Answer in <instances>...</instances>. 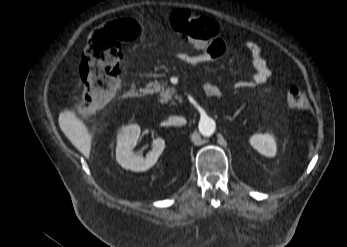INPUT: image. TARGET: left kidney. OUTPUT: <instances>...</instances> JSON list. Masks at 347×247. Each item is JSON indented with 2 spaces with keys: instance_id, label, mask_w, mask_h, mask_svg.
Masks as SVG:
<instances>
[{
  "instance_id": "5707ae66",
  "label": "left kidney",
  "mask_w": 347,
  "mask_h": 247,
  "mask_svg": "<svg viewBox=\"0 0 347 247\" xmlns=\"http://www.w3.org/2000/svg\"><path fill=\"white\" fill-rule=\"evenodd\" d=\"M251 146L256 149L260 154L266 157H274L276 155L277 147L275 139L270 134H255L250 138Z\"/></svg>"
}]
</instances>
